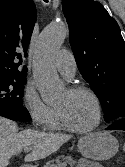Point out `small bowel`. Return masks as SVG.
I'll return each instance as SVG.
<instances>
[{
  "label": "small bowel",
  "instance_id": "c3829d8e",
  "mask_svg": "<svg viewBox=\"0 0 125 167\" xmlns=\"http://www.w3.org/2000/svg\"><path fill=\"white\" fill-rule=\"evenodd\" d=\"M76 167H102V166L96 163H91L88 160H80Z\"/></svg>",
  "mask_w": 125,
  "mask_h": 167
}]
</instances>
